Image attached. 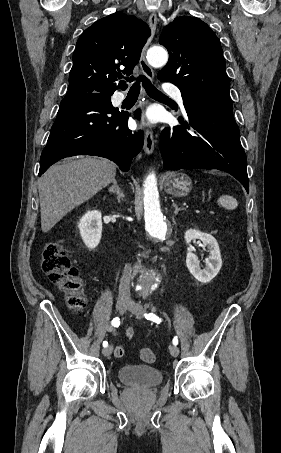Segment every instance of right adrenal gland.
Listing matches in <instances>:
<instances>
[{
	"label": "right adrenal gland",
	"instance_id": "2a0ac1e0",
	"mask_svg": "<svg viewBox=\"0 0 281 453\" xmlns=\"http://www.w3.org/2000/svg\"><path fill=\"white\" fill-rule=\"evenodd\" d=\"M113 184L112 186H109L108 190L109 192H115V194H117V202H122V200H124V192L122 190V188H120L117 180H112Z\"/></svg>",
	"mask_w": 281,
	"mask_h": 453
}]
</instances>
